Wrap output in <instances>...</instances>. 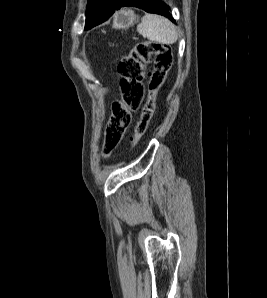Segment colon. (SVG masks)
I'll return each mask as SVG.
<instances>
[{
    "mask_svg": "<svg viewBox=\"0 0 267 298\" xmlns=\"http://www.w3.org/2000/svg\"><path fill=\"white\" fill-rule=\"evenodd\" d=\"M150 61L153 63V70L150 73L147 99L131 138V145L135 147L145 135L153 118L158 93L172 66V50L165 43L142 41L134 45L118 65L123 99L121 104L114 106L105 130L102 144V153L105 157L110 156L118 146L130 124L132 113L141 104L144 92L142 80L145 67Z\"/></svg>",
    "mask_w": 267,
    "mask_h": 298,
    "instance_id": "1",
    "label": "colon"
}]
</instances>
